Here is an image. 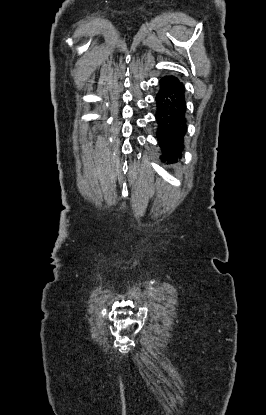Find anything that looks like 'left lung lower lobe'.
Wrapping results in <instances>:
<instances>
[{"label": "left lung lower lobe", "instance_id": "0a47b994", "mask_svg": "<svg viewBox=\"0 0 266 415\" xmlns=\"http://www.w3.org/2000/svg\"><path fill=\"white\" fill-rule=\"evenodd\" d=\"M158 124L157 139L162 149L163 161H172L181 156L186 133V101L183 83L168 75L160 80V89L155 97Z\"/></svg>", "mask_w": 266, "mask_h": 415}]
</instances>
